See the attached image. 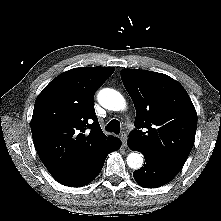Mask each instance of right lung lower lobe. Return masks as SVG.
<instances>
[{"label":"right lung lower lobe","instance_id":"98d812e1","mask_svg":"<svg viewBox=\"0 0 221 221\" xmlns=\"http://www.w3.org/2000/svg\"><path fill=\"white\" fill-rule=\"evenodd\" d=\"M120 146L121 141L119 139H116L109 146L94 155L75 173L59 182L70 187H79L88 184L100 173L107 155L112 151L118 150Z\"/></svg>","mask_w":221,"mask_h":221}]
</instances>
